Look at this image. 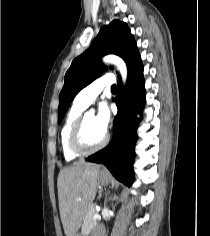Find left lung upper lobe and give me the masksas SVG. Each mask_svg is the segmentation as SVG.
Here are the masks:
<instances>
[{
    "label": "left lung upper lobe",
    "mask_w": 210,
    "mask_h": 236,
    "mask_svg": "<svg viewBox=\"0 0 210 236\" xmlns=\"http://www.w3.org/2000/svg\"><path fill=\"white\" fill-rule=\"evenodd\" d=\"M106 54H116L123 58L128 75L141 64L136 42L126 23L114 20L102 27L90 47L73 60L65 74L59 96L58 123H61L75 95L105 69L101 57Z\"/></svg>",
    "instance_id": "1"
}]
</instances>
